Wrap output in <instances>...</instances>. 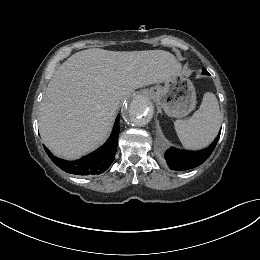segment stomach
<instances>
[{"label":"stomach","mask_w":260,"mask_h":260,"mask_svg":"<svg viewBox=\"0 0 260 260\" xmlns=\"http://www.w3.org/2000/svg\"><path fill=\"white\" fill-rule=\"evenodd\" d=\"M152 100L163 108L165 113L174 118L188 115L196 106V92L193 83L177 73L149 90Z\"/></svg>","instance_id":"obj_1"}]
</instances>
